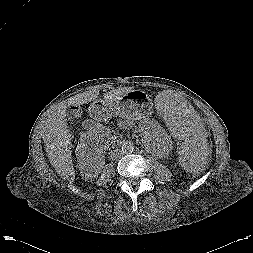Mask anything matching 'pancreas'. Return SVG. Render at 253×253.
<instances>
[{
  "instance_id": "1",
  "label": "pancreas",
  "mask_w": 253,
  "mask_h": 253,
  "mask_svg": "<svg viewBox=\"0 0 253 253\" xmlns=\"http://www.w3.org/2000/svg\"><path fill=\"white\" fill-rule=\"evenodd\" d=\"M146 119H144L143 121H141V123H143Z\"/></svg>"
}]
</instances>
